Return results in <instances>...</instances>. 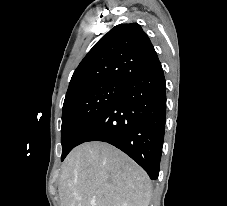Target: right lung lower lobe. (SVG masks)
Here are the masks:
<instances>
[{"mask_svg":"<svg viewBox=\"0 0 227 206\" xmlns=\"http://www.w3.org/2000/svg\"><path fill=\"white\" fill-rule=\"evenodd\" d=\"M124 83L122 94L87 129L78 145L88 141L112 144L155 180L166 118V84L160 61Z\"/></svg>","mask_w":227,"mask_h":206,"instance_id":"1","label":"right lung lower lobe"}]
</instances>
